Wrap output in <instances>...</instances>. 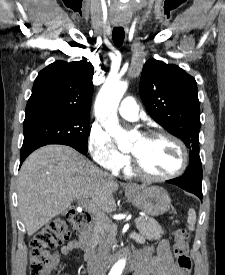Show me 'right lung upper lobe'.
<instances>
[{
    "mask_svg": "<svg viewBox=\"0 0 225 275\" xmlns=\"http://www.w3.org/2000/svg\"><path fill=\"white\" fill-rule=\"evenodd\" d=\"M93 66L87 61H56L39 72L25 117L42 113L89 114Z\"/></svg>",
    "mask_w": 225,
    "mask_h": 275,
    "instance_id": "right-lung-upper-lobe-1",
    "label": "right lung upper lobe"
}]
</instances>
